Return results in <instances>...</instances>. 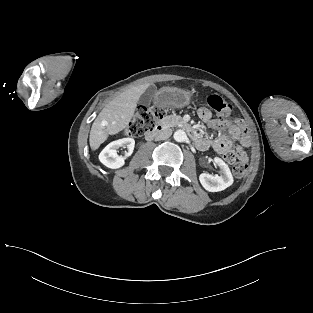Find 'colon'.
<instances>
[{"label": "colon", "mask_w": 313, "mask_h": 313, "mask_svg": "<svg viewBox=\"0 0 313 313\" xmlns=\"http://www.w3.org/2000/svg\"><path fill=\"white\" fill-rule=\"evenodd\" d=\"M207 103L222 117H226L231 113L232 107L230 103L218 95H210L207 98ZM164 115L165 111L161 107H140L126 127L124 133L130 137L143 136L154 130ZM224 158L232 163V171L236 177H241L245 174L247 170V159L236 158L232 153L226 154Z\"/></svg>", "instance_id": "colon-1"}]
</instances>
